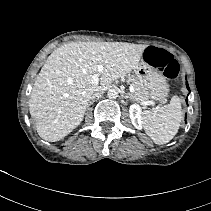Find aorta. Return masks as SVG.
Here are the masks:
<instances>
[{"label": "aorta", "instance_id": "aorta-1", "mask_svg": "<svg viewBox=\"0 0 211 211\" xmlns=\"http://www.w3.org/2000/svg\"><path fill=\"white\" fill-rule=\"evenodd\" d=\"M107 96L110 99H116L118 97V91L116 89H109L107 92Z\"/></svg>", "mask_w": 211, "mask_h": 211}]
</instances>
